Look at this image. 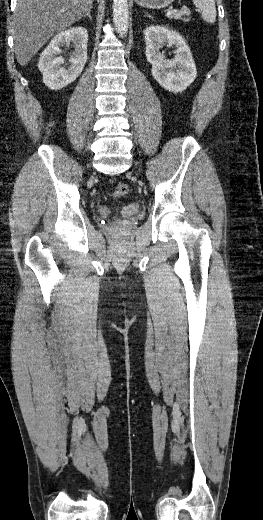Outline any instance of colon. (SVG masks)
<instances>
[{"instance_id": "5ec220e1", "label": "colon", "mask_w": 263, "mask_h": 520, "mask_svg": "<svg viewBox=\"0 0 263 520\" xmlns=\"http://www.w3.org/2000/svg\"><path fill=\"white\" fill-rule=\"evenodd\" d=\"M129 194V186L125 183H119L114 190V197L122 198Z\"/></svg>"}]
</instances>
